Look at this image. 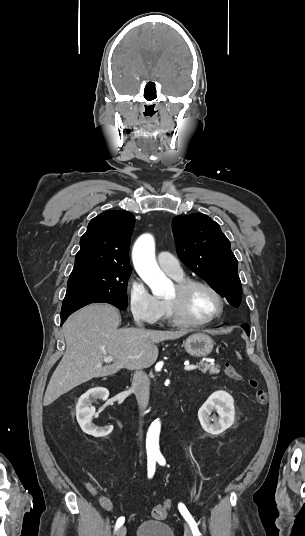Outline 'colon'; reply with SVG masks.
<instances>
[{
    "instance_id": "5ec220e1",
    "label": "colon",
    "mask_w": 305,
    "mask_h": 536,
    "mask_svg": "<svg viewBox=\"0 0 305 536\" xmlns=\"http://www.w3.org/2000/svg\"><path fill=\"white\" fill-rule=\"evenodd\" d=\"M224 374L232 380L244 381L245 378L240 374L237 369L229 362H226L223 367ZM248 384L250 388L254 389L255 399L258 404L265 405L268 399L266 390L258 387V382L254 379H249ZM171 507L170 500L156 505L152 510V516L156 519L165 518Z\"/></svg>"
}]
</instances>
